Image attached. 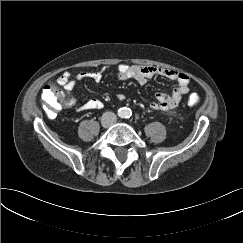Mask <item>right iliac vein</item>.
<instances>
[{
  "instance_id": "1",
  "label": "right iliac vein",
  "mask_w": 243,
  "mask_h": 243,
  "mask_svg": "<svg viewBox=\"0 0 243 243\" xmlns=\"http://www.w3.org/2000/svg\"><path fill=\"white\" fill-rule=\"evenodd\" d=\"M108 122L107 121H103V126L107 127L108 126Z\"/></svg>"
}]
</instances>
